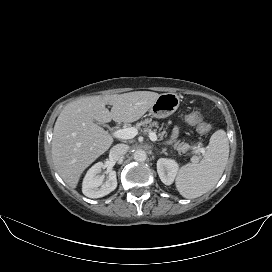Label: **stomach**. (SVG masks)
Returning a JSON list of instances; mask_svg holds the SVG:
<instances>
[{
	"instance_id": "obj_1",
	"label": "stomach",
	"mask_w": 272,
	"mask_h": 272,
	"mask_svg": "<svg viewBox=\"0 0 272 272\" xmlns=\"http://www.w3.org/2000/svg\"><path fill=\"white\" fill-rule=\"evenodd\" d=\"M180 104V98L175 93H163L149 109L150 115L156 118H166L173 114Z\"/></svg>"
}]
</instances>
